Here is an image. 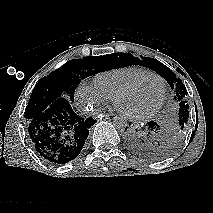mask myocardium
I'll return each mask as SVG.
<instances>
[{
    "label": "myocardium",
    "instance_id": "f54148a6",
    "mask_svg": "<svg viewBox=\"0 0 213 213\" xmlns=\"http://www.w3.org/2000/svg\"><path fill=\"white\" fill-rule=\"evenodd\" d=\"M149 77H154L159 79L162 84H163V89H164V93H163V97L161 99V101L152 109L143 112L141 114H130L127 112H124L118 105V102L120 100V98H122L124 95H126L127 93H129L130 91H132L134 88H136L143 80H145L146 78ZM168 96V86H167V82L166 80L159 74L154 73V72H149L146 74H143L137 78H135L134 80H132L131 82H129L127 85H125L123 88H121L113 97V102L115 104V106L129 119L132 120H144L147 118H150L152 116H154L164 105L166 99Z\"/></svg>",
    "mask_w": 213,
    "mask_h": 213
}]
</instances>
